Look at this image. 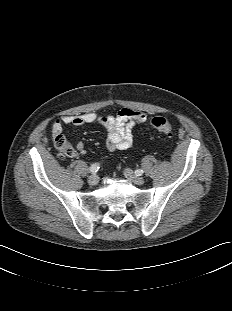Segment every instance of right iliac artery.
I'll return each instance as SVG.
<instances>
[{"mask_svg":"<svg viewBox=\"0 0 232 311\" xmlns=\"http://www.w3.org/2000/svg\"><path fill=\"white\" fill-rule=\"evenodd\" d=\"M99 168H100L99 163H94L91 165L89 170L91 173H96L99 170Z\"/></svg>","mask_w":232,"mask_h":311,"instance_id":"obj_1","label":"right iliac artery"}]
</instances>
